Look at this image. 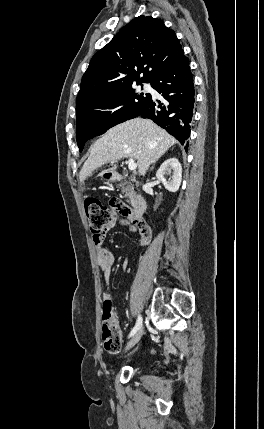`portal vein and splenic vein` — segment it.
Here are the masks:
<instances>
[{
    "label": "portal vein and splenic vein",
    "instance_id": "1",
    "mask_svg": "<svg viewBox=\"0 0 264 429\" xmlns=\"http://www.w3.org/2000/svg\"><path fill=\"white\" fill-rule=\"evenodd\" d=\"M128 168L129 170H135L137 168V163L132 158L128 161Z\"/></svg>",
    "mask_w": 264,
    "mask_h": 429
}]
</instances>
